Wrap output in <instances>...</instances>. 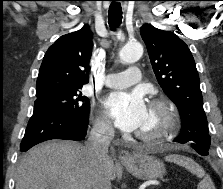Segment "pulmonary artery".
<instances>
[{"label": "pulmonary artery", "instance_id": "e3ab8cb5", "mask_svg": "<svg viewBox=\"0 0 223 189\" xmlns=\"http://www.w3.org/2000/svg\"><path fill=\"white\" fill-rule=\"evenodd\" d=\"M142 71L134 66L125 72L107 74L104 85L110 88H125L141 81Z\"/></svg>", "mask_w": 223, "mask_h": 189}]
</instances>
